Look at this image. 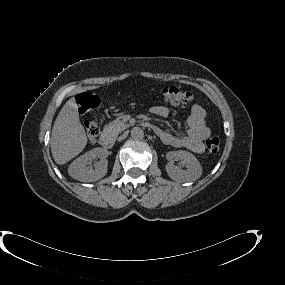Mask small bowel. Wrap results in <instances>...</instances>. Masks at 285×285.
<instances>
[{
    "instance_id": "1",
    "label": "small bowel",
    "mask_w": 285,
    "mask_h": 285,
    "mask_svg": "<svg viewBox=\"0 0 285 285\" xmlns=\"http://www.w3.org/2000/svg\"><path fill=\"white\" fill-rule=\"evenodd\" d=\"M150 111L160 117H167L169 114V110L164 106H154ZM205 116V109L196 104L192 106L190 114L185 120V135H174L158 127L154 129L164 143L173 147L187 148L195 153H202L205 149L204 141L211 135V130L205 124Z\"/></svg>"
}]
</instances>
